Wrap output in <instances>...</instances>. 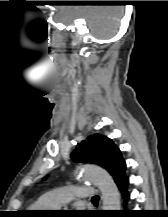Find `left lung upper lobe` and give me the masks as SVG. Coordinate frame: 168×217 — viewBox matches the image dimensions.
<instances>
[{"label":"left lung upper lobe","mask_w":168,"mask_h":217,"mask_svg":"<svg viewBox=\"0 0 168 217\" xmlns=\"http://www.w3.org/2000/svg\"><path fill=\"white\" fill-rule=\"evenodd\" d=\"M76 162L95 163L105 168L115 182L124 174L125 161L113 141L101 134L88 136L72 152Z\"/></svg>","instance_id":"left-lung-upper-lobe-1"}]
</instances>
